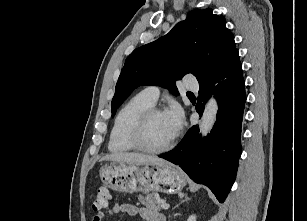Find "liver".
I'll list each match as a JSON object with an SVG mask.
<instances>
[{"instance_id": "liver-1", "label": "liver", "mask_w": 307, "mask_h": 221, "mask_svg": "<svg viewBox=\"0 0 307 221\" xmlns=\"http://www.w3.org/2000/svg\"><path fill=\"white\" fill-rule=\"evenodd\" d=\"M101 161L144 164V163L163 162L164 160L155 156H150L140 153L118 152V153L108 154L102 157Z\"/></svg>"}]
</instances>
